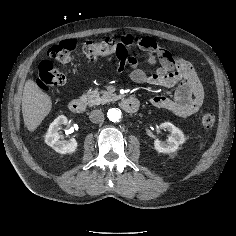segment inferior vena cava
<instances>
[{
  "label": "inferior vena cava",
  "mask_w": 236,
  "mask_h": 236,
  "mask_svg": "<svg viewBox=\"0 0 236 236\" xmlns=\"http://www.w3.org/2000/svg\"><path fill=\"white\" fill-rule=\"evenodd\" d=\"M89 119L93 123H99L104 120V114L101 110L95 109L90 112Z\"/></svg>",
  "instance_id": "inferior-vena-cava-1"
}]
</instances>
